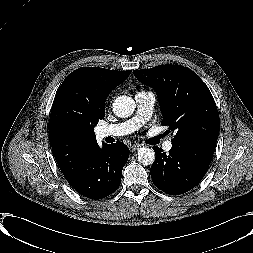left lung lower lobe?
I'll return each instance as SVG.
<instances>
[{"mask_svg":"<svg viewBox=\"0 0 253 253\" xmlns=\"http://www.w3.org/2000/svg\"><path fill=\"white\" fill-rule=\"evenodd\" d=\"M214 149L203 145L172 144L166 154L162 148L154 146L156 159L150 170L154 185L170 195L191 190L206 174Z\"/></svg>","mask_w":253,"mask_h":253,"instance_id":"0a47b994","label":"left lung lower lobe"}]
</instances>
